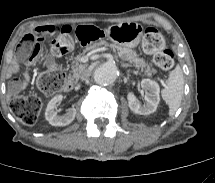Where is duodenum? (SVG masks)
I'll return each mask as SVG.
<instances>
[{
  "instance_id": "duodenum-1",
  "label": "duodenum",
  "mask_w": 215,
  "mask_h": 183,
  "mask_svg": "<svg viewBox=\"0 0 215 183\" xmlns=\"http://www.w3.org/2000/svg\"><path fill=\"white\" fill-rule=\"evenodd\" d=\"M63 89L64 91H71L73 89V82L72 81H67L64 85H63Z\"/></svg>"
}]
</instances>
